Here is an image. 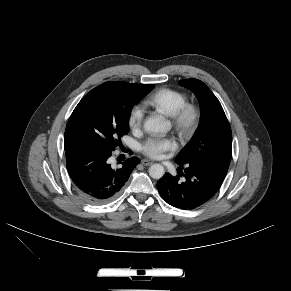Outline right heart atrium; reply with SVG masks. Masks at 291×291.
<instances>
[{
	"mask_svg": "<svg viewBox=\"0 0 291 291\" xmlns=\"http://www.w3.org/2000/svg\"><path fill=\"white\" fill-rule=\"evenodd\" d=\"M144 120V110L140 105H135L129 112L128 125L133 130L141 128Z\"/></svg>",
	"mask_w": 291,
	"mask_h": 291,
	"instance_id": "obj_1",
	"label": "right heart atrium"
}]
</instances>
